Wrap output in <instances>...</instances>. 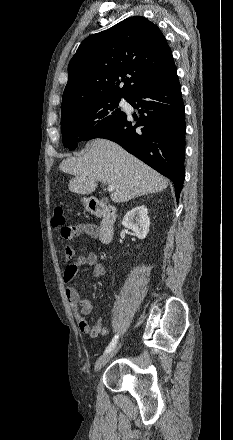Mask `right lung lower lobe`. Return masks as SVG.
I'll list each match as a JSON object with an SVG mask.
<instances>
[{"mask_svg":"<svg viewBox=\"0 0 233 440\" xmlns=\"http://www.w3.org/2000/svg\"><path fill=\"white\" fill-rule=\"evenodd\" d=\"M140 117L128 115L99 138L121 145L162 175L170 178L177 199L184 182L185 108L176 67L128 98Z\"/></svg>","mask_w":233,"mask_h":440,"instance_id":"right-lung-lower-lobe-1","label":"right lung lower lobe"}]
</instances>
